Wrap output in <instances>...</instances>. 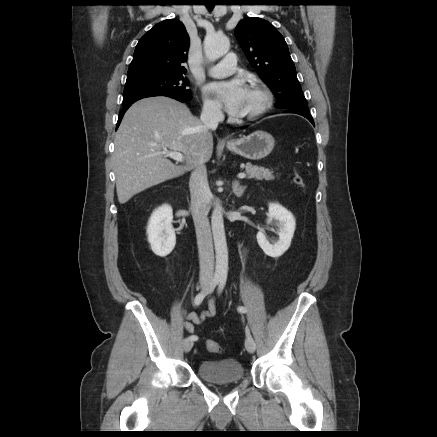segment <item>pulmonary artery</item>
<instances>
[{
  "label": "pulmonary artery",
  "instance_id": "pulmonary-artery-1",
  "mask_svg": "<svg viewBox=\"0 0 437 437\" xmlns=\"http://www.w3.org/2000/svg\"><path fill=\"white\" fill-rule=\"evenodd\" d=\"M236 65V55L234 53H228L222 61L209 68L208 74L212 77H225L234 73Z\"/></svg>",
  "mask_w": 437,
  "mask_h": 437
}]
</instances>
